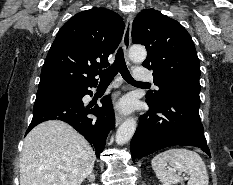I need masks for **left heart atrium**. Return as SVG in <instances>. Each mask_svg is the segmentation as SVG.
Listing matches in <instances>:
<instances>
[{"label":"left heart atrium","mask_w":233,"mask_h":185,"mask_svg":"<svg viewBox=\"0 0 233 185\" xmlns=\"http://www.w3.org/2000/svg\"><path fill=\"white\" fill-rule=\"evenodd\" d=\"M117 108L121 111V112H129L131 109H132V104H131V102L130 101H128V100H122L119 104H118V106H117Z\"/></svg>","instance_id":"39dd6f15"}]
</instances>
